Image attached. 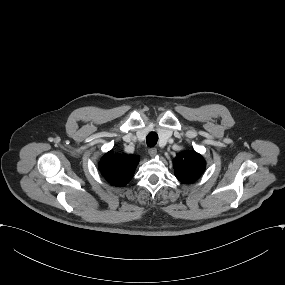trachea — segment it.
I'll use <instances>...</instances> for the list:
<instances>
[{
    "instance_id": "1",
    "label": "trachea",
    "mask_w": 285,
    "mask_h": 285,
    "mask_svg": "<svg viewBox=\"0 0 285 285\" xmlns=\"http://www.w3.org/2000/svg\"><path fill=\"white\" fill-rule=\"evenodd\" d=\"M158 141V134L156 132H150L146 137V143L148 147H154Z\"/></svg>"
}]
</instances>
